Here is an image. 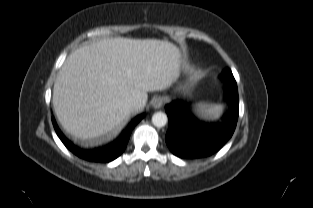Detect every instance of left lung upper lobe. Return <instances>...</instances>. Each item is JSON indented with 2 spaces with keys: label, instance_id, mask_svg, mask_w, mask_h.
<instances>
[{
  "label": "left lung upper lobe",
  "instance_id": "5c2ea615",
  "mask_svg": "<svg viewBox=\"0 0 313 208\" xmlns=\"http://www.w3.org/2000/svg\"><path fill=\"white\" fill-rule=\"evenodd\" d=\"M221 79L222 80H232L234 79L233 74L230 69H226L222 74H221Z\"/></svg>",
  "mask_w": 313,
  "mask_h": 208
}]
</instances>
